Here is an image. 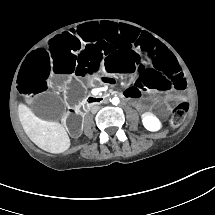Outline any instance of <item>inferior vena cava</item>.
<instances>
[{
    "mask_svg": "<svg viewBox=\"0 0 215 215\" xmlns=\"http://www.w3.org/2000/svg\"><path fill=\"white\" fill-rule=\"evenodd\" d=\"M99 109H100V106H93V107L91 108V112H92L93 114H95V113H97V112L99 111Z\"/></svg>",
    "mask_w": 215,
    "mask_h": 215,
    "instance_id": "obj_1",
    "label": "inferior vena cava"
}]
</instances>
